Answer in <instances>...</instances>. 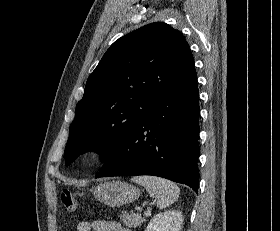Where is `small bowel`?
Segmentation results:
<instances>
[{"label":"small bowel","instance_id":"small-bowel-1","mask_svg":"<svg viewBox=\"0 0 280 231\" xmlns=\"http://www.w3.org/2000/svg\"><path fill=\"white\" fill-rule=\"evenodd\" d=\"M77 231H125V229L115 221L95 220L80 221L77 224Z\"/></svg>","mask_w":280,"mask_h":231}]
</instances>
